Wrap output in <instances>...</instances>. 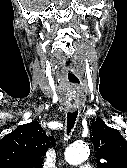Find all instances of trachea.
<instances>
[{
	"mask_svg": "<svg viewBox=\"0 0 127 168\" xmlns=\"http://www.w3.org/2000/svg\"><path fill=\"white\" fill-rule=\"evenodd\" d=\"M77 115H78V110L67 113V134L68 135H69L71 129L74 127Z\"/></svg>",
	"mask_w": 127,
	"mask_h": 168,
	"instance_id": "obj_1",
	"label": "trachea"
}]
</instances>
